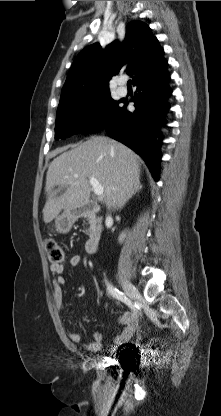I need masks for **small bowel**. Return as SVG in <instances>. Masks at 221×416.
Listing matches in <instances>:
<instances>
[{
	"label": "small bowel",
	"mask_w": 221,
	"mask_h": 416,
	"mask_svg": "<svg viewBox=\"0 0 221 416\" xmlns=\"http://www.w3.org/2000/svg\"><path fill=\"white\" fill-rule=\"evenodd\" d=\"M67 263L69 267L76 268L81 263V256L72 255L69 257ZM49 269L53 275V296L55 305L59 310H63L65 307L63 294L65 279L62 274L64 272L65 266L64 264H50ZM118 322L123 324L125 328L122 333L114 339L115 346L127 344L132 338L137 325L135 316L130 312L122 313L118 318ZM69 338L74 343H79L81 341V336L78 332H70ZM101 340V333L99 331H93L91 334V340L85 344L86 349L93 353L100 351L102 347Z\"/></svg>",
	"instance_id": "c3829d8e"
}]
</instances>
